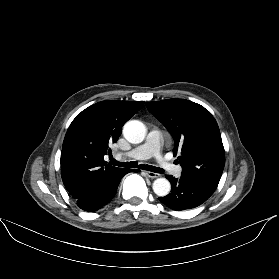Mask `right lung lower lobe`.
Wrapping results in <instances>:
<instances>
[{
  "instance_id": "1",
  "label": "right lung lower lobe",
  "mask_w": 279,
  "mask_h": 279,
  "mask_svg": "<svg viewBox=\"0 0 279 279\" xmlns=\"http://www.w3.org/2000/svg\"><path fill=\"white\" fill-rule=\"evenodd\" d=\"M133 170L126 169L124 173H122L120 176L116 177L112 181L106 183L104 186H102L99 190L96 192L87 195L85 197L76 199L77 205L89 212H94L98 210L99 208L103 207L105 204L109 203L113 197L116 194L117 187L120 183V180L122 177L129 173L132 172Z\"/></svg>"
}]
</instances>
